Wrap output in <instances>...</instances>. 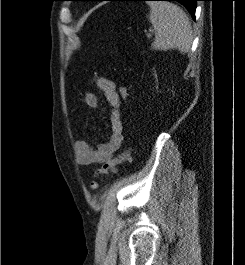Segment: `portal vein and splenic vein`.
I'll list each match as a JSON object with an SVG mask.
<instances>
[{"label":"portal vein and splenic vein","mask_w":245,"mask_h":265,"mask_svg":"<svg viewBox=\"0 0 245 265\" xmlns=\"http://www.w3.org/2000/svg\"><path fill=\"white\" fill-rule=\"evenodd\" d=\"M148 37H150L151 35L150 34H147Z\"/></svg>","instance_id":"1"}]
</instances>
